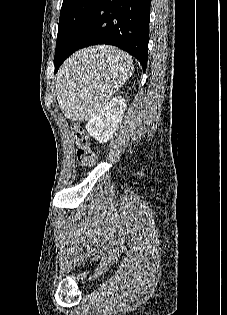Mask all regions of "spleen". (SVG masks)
<instances>
[{"instance_id":"spleen-1","label":"spleen","mask_w":227,"mask_h":315,"mask_svg":"<svg viewBox=\"0 0 227 315\" xmlns=\"http://www.w3.org/2000/svg\"><path fill=\"white\" fill-rule=\"evenodd\" d=\"M133 70L131 57L110 46L83 49L61 68L57 100L70 119L87 121L111 99Z\"/></svg>"}]
</instances>
